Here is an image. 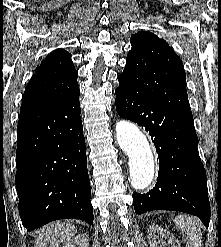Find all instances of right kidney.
<instances>
[{"label":"right kidney","mask_w":221,"mask_h":247,"mask_svg":"<svg viewBox=\"0 0 221 247\" xmlns=\"http://www.w3.org/2000/svg\"><path fill=\"white\" fill-rule=\"evenodd\" d=\"M63 247H89V236L87 234H78Z\"/></svg>","instance_id":"ca27d5eb"}]
</instances>
